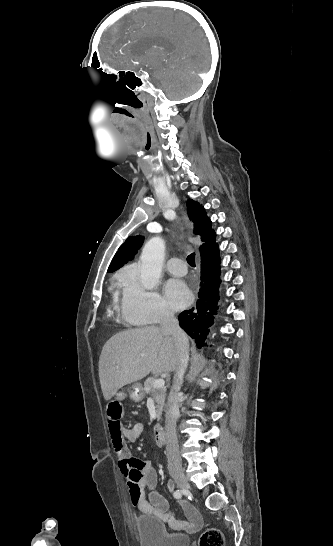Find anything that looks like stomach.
<instances>
[{"label": "stomach", "mask_w": 333, "mask_h": 546, "mask_svg": "<svg viewBox=\"0 0 333 546\" xmlns=\"http://www.w3.org/2000/svg\"><path fill=\"white\" fill-rule=\"evenodd\" d=\"M129 397L135 402H139L144 398L143 388L140 384L136 383L129 389Z\"/></svg>", "instance_id": "1"}]
</instances>
